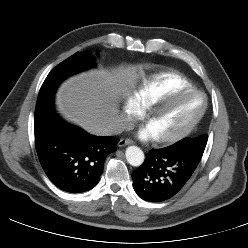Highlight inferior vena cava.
<instances>
[{"label":"inferior vena cava","instance_id":"602c4592","mask_svg":"<svg viewBox=\"0 0 248 248\" xmlns=\"http://www.w3.org/2000/svg\"><path fill=\"white\" fill-rule=\"evenodd\" d=\"M132 123L124 115H118L115 118L114 124L107 130L106 135H116L120 134L125 130H129Z\"/></svg>","mask_w":248,"mask_h":248}]
</instances>
